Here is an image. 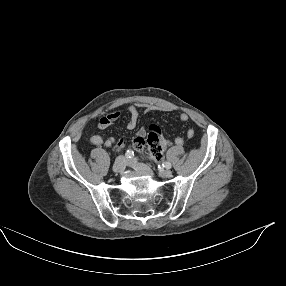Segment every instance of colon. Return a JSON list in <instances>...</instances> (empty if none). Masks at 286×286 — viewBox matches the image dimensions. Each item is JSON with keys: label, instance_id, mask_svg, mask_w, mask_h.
<instances>
[{"label": "colon", "instance_id": "1", "mask_svg": "<svg viewBox=\"0 0 286 286\" xmlns=\"http://www.w3.org/2000/svg\"><path fill=\"white\" fill-rule=\"evenodd\" d=\"M164 139L165 138L162 134L161 129L158 128L157 126L152 125L149 128L148 135L146 137H137L133 141V145L135 149L138 151H142L144 147L147 145L152 154L159 156L162 154L165 148L163 146ZM117 145L118 147H122L123 141H119Z\"/></svg>", "mask_w": 286, "mask_h": 286}]
</instances>
